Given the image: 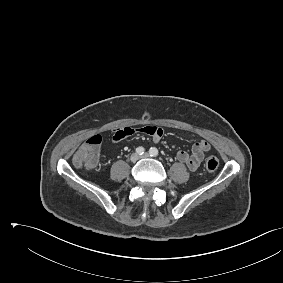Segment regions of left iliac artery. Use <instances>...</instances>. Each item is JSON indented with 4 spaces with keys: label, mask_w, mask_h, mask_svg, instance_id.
Returning <instances> with one entry per match:
<instances>
[{
    "label": "left iliac artery",
    "mask_w": 283,
    "mask_h": 283,
    "mask_svg": "<svg viewBox=\"0 0 283 283\" xmlns=\"http://www.w3.org/2000/svg\"><path fill=\"white\" fill-rule=\"evenodd\" d=\"M150 156L156 157L158 155V150L155 147L149 149Z\"/></svg>",
    "instance_id": "1"
}]
</instances>
